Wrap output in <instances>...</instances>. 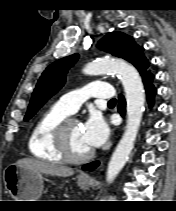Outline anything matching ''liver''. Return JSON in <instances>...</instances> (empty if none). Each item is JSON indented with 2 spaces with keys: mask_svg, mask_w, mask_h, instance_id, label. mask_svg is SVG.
Returning a JSON list of instances; mask_svg holds the SVG:
<instances>
[{
  "mask_svg": "<svg viewBox=\"0 0 176 211\" xmlns=\"http://www.w3.org/2000/svg\"><path fill=\"white\" fill-rule=\"evenodd\" d=\"M16 165L31 171L55 175L59 177H68L74 174V171L69 167L44 162L33 158L20 159L16 162Z\"/></svg>",
  "mask_w": 176,
  "mask_h": 211,
  "instance_id": "liver-1",
  "label": "liver"
}]
</instances>
